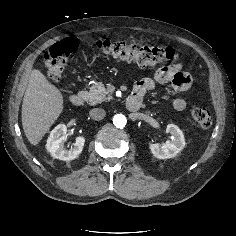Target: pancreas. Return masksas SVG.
<instances>
[{
  "label": "pancreas",
  "instance_id": "cf45deb5",
  "mask_svg": "<svg viewBox=\"0 0 236 236\" xmlns=\"http://www.w3.org/2000/svg\"><path fill=\"white\" fill-rule=\"evenodd\" d=\"M111 99L112 96L109 94L108 89L102 82H96L87 92V101L91 105H95L104 101H110Z\"/></svg>",
  "mask_w": 236,
  "mask_h": 236
}]
</instances>
